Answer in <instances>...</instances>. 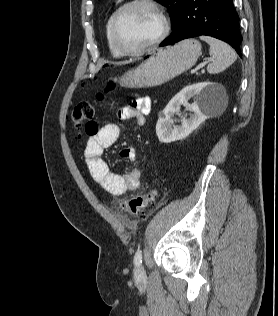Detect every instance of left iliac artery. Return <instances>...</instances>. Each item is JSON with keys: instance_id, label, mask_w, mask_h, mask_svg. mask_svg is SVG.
<instances>
[{"instance_id": "left-iliac-artery-1", "label": "left iliac artery", "mask_w": 278, "mask_h": 316, "mask_svg": "<svg viewBox=\"0 0 278 316\" xmlns=\"http://www.w3.org/2000/svg\"><path fill=\"white\" fill-rule=\"evenodd\" d=\"M134 263L139 266L142 263V250H138L134 256Z\"/></svg>"}]
</instances>
